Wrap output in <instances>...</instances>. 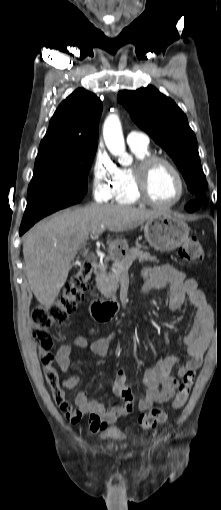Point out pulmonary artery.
I'll return each mask as SVG.
<instances>
[{
    "label": "pulmonary artery",
    "mask_w": 221,
    "mask_h": 510,
    "mask_svg": "<svg viewBox=\"0 0 221 510\" xmlns=\"http://www.w3.org/2000/svg\"><path fill=\"white\" fill-rule=\"evenodd\" d=\"M127 143L130 146H147L149 144V137L142 131L133 130L127 135Z\"/></svg>",
    "instance_id": "1"
}]
</instances>
